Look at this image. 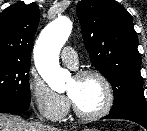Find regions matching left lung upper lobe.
<instances>
[{"instance_id": "1", "label": "left lung upper lobe", "mask_w": 147, "mask_h": 131, "mask_svg": "<svg viewBox=\"0 0 147 131\" xmlns=\"http://www.w3.org/2000/svg\"><path fill=\"white\" fill-rule=\"evenodd\" d=\"M76 12L91 62L113 87L110 113H147L131 15L114 0H81Z\"/></svg>"}]
</instances>
